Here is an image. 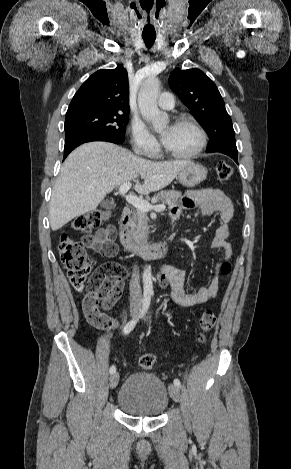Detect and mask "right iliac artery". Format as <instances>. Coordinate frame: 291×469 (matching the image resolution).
Returning <instances> with one entry per match:
<instances>
[{"label":"right iliac artery","mask_w":291,"mask_h":469,"mask_svg":"<svg viewBox=\"0 0 291 469\" xmlns=\"http://www.w3.org/2000/svg\"><path fill=\"white\" fill-rule=\"evenodd\" d=\"M150 303H151V298H150V296H149V295H144V297H143L142 310H141V312H140V314H139L138 317H136L135 319L129 321V322L125 325V327H124V329H123V333H124L125 335H126V334H129V333L133 330V328L135 327V325L137 324V322L139 321V319L142 318V317L145 315V313L148 311V309H149V307H150ZM109 371H110L111 374H113V373L116 371V367H115L114 365H112V366L110 367V370H109Z\"/></svg>","instance_id":"1"}]
</instances>
